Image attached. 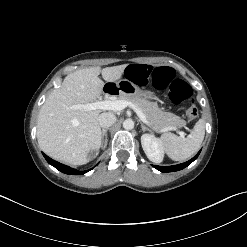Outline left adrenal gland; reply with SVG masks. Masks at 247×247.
Masks as SVG:
<instances>
[{
	"label": "left adrenal gland",
	"mask_w": 247,
	"mask_h": 247,
	"mask_svg": "<svg viewBox=\"0 0 247 247\" xmlns=\"http://www.w3.org/2000/svg\"><path fill=\"white\" fill-rule=\"evenodd\" d=\"M141 128H142V130L143 131H145V130H147V131H152L149 127H147L145 124H143L142 122H141Z\"/></svg>",
	"instance_id": "a2214340"
}]
</instances>
